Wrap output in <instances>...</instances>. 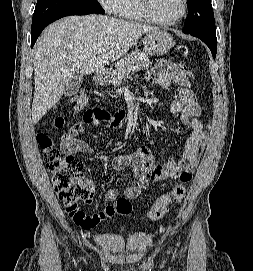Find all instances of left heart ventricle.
Listing matches in <instances>:
<instances>
[{"instance_id":"left-heart-ventricle-1","label":"left heart ventricle","mask_w":253,"mask_h":271,"mask_svg":"<svg viewBox=\"0 0 253 271\" xmlns=\"http://www.w3.org/2000/svg\"><path fill=\"white\" fill-rule=\"evenodd\" d=\"M182 0H150L152 13L161 20H173L182 11Z\"/></svg>"}]
</instances>
